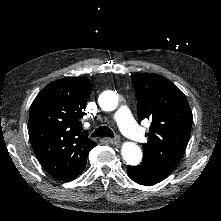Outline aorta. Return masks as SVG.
Masks as SVG:
<instances>
[{"mask_svg":"<svg viewBox=\"0 0 221 221\" xmlns=\"http://www.w3.org/2000/svg\"><path fill=\"white\" fill-rule=\"evenodd\" d=\"M99 106L104 111H113L118 106V97L113 91L105 92L99 97ZM123 159L128 165L136 166L142 160V151L133 142H125L121 148Z\"/></svg>","mask_w":221,"mask_h":221,"instance_id":"obj_1","label":"aorta"}]
</instances>
